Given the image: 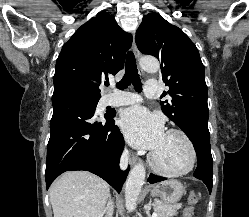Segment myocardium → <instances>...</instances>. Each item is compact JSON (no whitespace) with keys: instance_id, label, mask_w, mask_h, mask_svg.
I'll use <instances>...</instances> for the list:
<instances>
[{"instance_id":"f54148a6","label":"myocardium","mask_w":249,"mask_h":217,"mask_svg":"<svg viewBox=\"0 0 249 217\" xmlns=\"http://www.w3.org/2000/svg\"><path fill=\"white\" fill-rule=\"evenodd\" d=\"M167 135H177L179 136L184 143L186 144L188 150H189V161L187 165L180 169V170H167L162 168L155 160L153 152H151L148 156V162L151 168L157 172L160 175L166 176V177H179L188 174L191 172L196 164L197 161V152L196 148L190 139V137L182 130L176 129V128H171L166 131Z\"/></svg>"}]
</instances>
